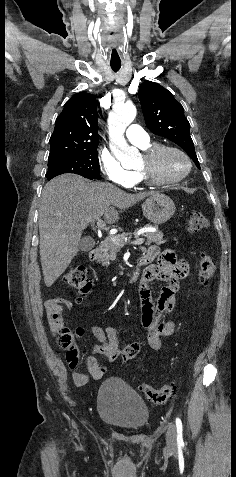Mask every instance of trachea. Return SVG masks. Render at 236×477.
<instances>
[{"label":"trachea","instance_id":"obj_1","mask_svg":"<svg viewBox=\"0 0 236 477\" xmlns=\"http://www.w3.org/2000/svg\"><path fill=\"white\" fill-rule=\"evenodd\" d=\"M110 66L114 72H117L121 68V63H111Z\"/></svg>","mask_w":236,"mask_h":477}]
</instances>
